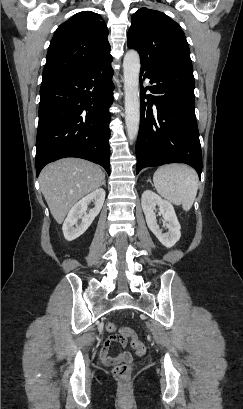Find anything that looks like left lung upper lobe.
<instances>
[{"instance_id": "5c2ea615", "label": "left lung upper lobe", "mask_w": 243, "mask_h": 409, "mask_svg": "<svg viewBox=\"0 0 243 409\" xmlns=\"http://www.w3.org/2000/svg\"><path fill=\"white\" fill-rule=\"evenodd\" d=\"M127 46L138 51L143 71L172 65L192 67L184 32L170 17L156 10L141 8L132 16Z\"/></svg>"}]
</instances>
